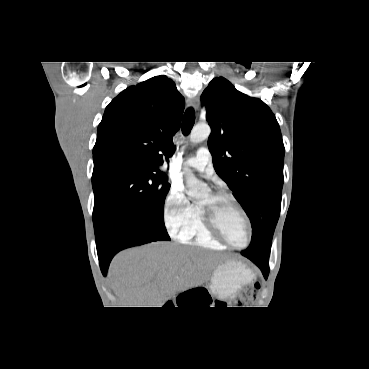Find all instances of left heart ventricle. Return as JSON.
Returning a JSON list of instances; mask_svg holds the SVG:
<instances>
[{"label": "left heart ventricle", "mask_w": 369, "mask_h": 369, "mask_svg": "<svg viewBox=\"0 0 369 369\" xmlns=\"http://www.w3.org/2000/svg\"><path fill=\"white\" fill-rule=\"evenodd\" d=\"M214 205L211 194L200 201V206L210 207ZM217 220L219 226L228 240L237 246H242L247 241V227L239 210L230 202L216 204Z\"/></svg>", "instance_id": "obj_1"}]
</instances>
